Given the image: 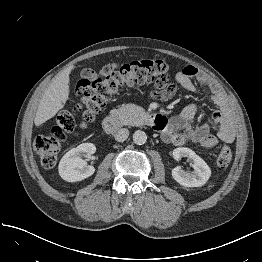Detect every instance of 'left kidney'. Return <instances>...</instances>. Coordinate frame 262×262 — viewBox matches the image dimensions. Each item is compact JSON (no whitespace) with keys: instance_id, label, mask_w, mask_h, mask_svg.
Here are the masks:
<instances>
[{"instance_id":"1","label":"left kidney","mask_w":262,"mask_h":262,"mask_svg":"<svg viewBox=\"0 0 262 262\" xmlns=\"http://www.w3.org/2000/svg\"><path fill=\"white\" fill-rule=\"evenodd\" d=\"M175 160H180L182 157H188L193 161V171L186 172L180 166L172 170L173 179L184 187H200L203 186L211 176V169L207 163L199 157L193 150L180 147L173 151Z\"/></svg>"}]
</instances>
